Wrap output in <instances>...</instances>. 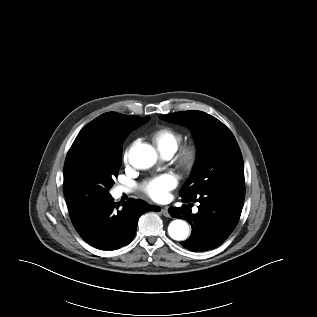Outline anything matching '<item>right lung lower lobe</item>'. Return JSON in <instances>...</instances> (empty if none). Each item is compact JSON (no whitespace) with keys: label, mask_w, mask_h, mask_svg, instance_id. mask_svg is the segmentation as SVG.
<instances>
[{"label":"right lung lower lobe","mask_w":317,"mask_h":317,"mask_svg":"<svg viewBox=\"0 0 317 317\" xmlns=\"http://www.w3.org/2000/svg\"><path fill=\"white\" fill-rule=\"evenodd\" d=\"M71 221L78 234L91 246L115 250L128 245L134 238L139 217L159 207L142 200L130 199L123 208L116 206L112 196L86 203L66 197Z\"/></svg>","instance_id":"obj_1"}]
</instances>
